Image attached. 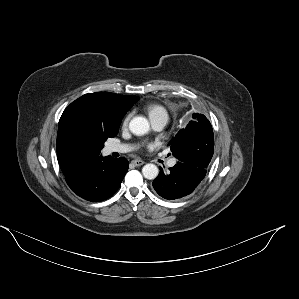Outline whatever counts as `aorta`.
Segmentation results:
<instances>
[{
  "mask_svg": "<svg viewBox=\"0 0 299 299\" xmlns=\"http://www.w3.org/2000/svg\"><path fill=\"white\" fill-rule=\"evenodd\" d=\"M130 131L138 136L146 134L150 130V125L145 117H134L129 123ZM142 174L146 179L153 180L159 174V169L154 164H146L142 168Z\"/></svg>",
  "mask_w": 299,
  "mask_h": 299,
  "instance_id": "762f6f07",
  "label": "aorta"
}]
</instances>
